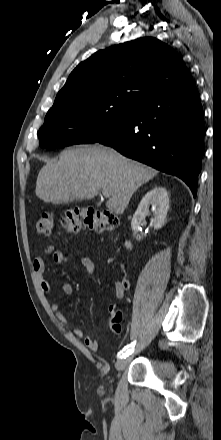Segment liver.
<instances>
[{"label":"liver","instance_id":"obj_1","mask_svg":"<svg viewBox=\"0 0 221 440\" xmlns=\"http://www.w3.org/2000/svg\"><path fill=\"white\" fill-rule=\"evenodd\" d=\"M157 173L109 147L79 146L62 151L57 162L42 167L35 193L46 203L60 204L92 199L106 191V207L122 214L133 193Z\"/></svg>","mask_w":221,"mask_h":440}]
</instances>
